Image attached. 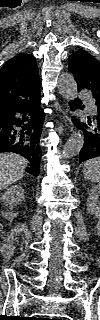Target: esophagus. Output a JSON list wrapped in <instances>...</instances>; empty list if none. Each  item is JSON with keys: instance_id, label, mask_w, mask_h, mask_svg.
Wrapping results in <instances>:
<instances>
[{"instance_id": "1", "label": "esophagus", "mask_w": 100, "mask_h": 320, "mask_svg": "<svg viewBox=\"0 0 100 320\" xmlns=\"http://www.w3.org/2000/svg\"><path fill=\"white\" fill-rule=\"evenodd\" d=\"M64 115H65V112H64ZM64 118H65V121L71 122V119L68 116L65 115Z\"/></svg>"}]
</instances>
